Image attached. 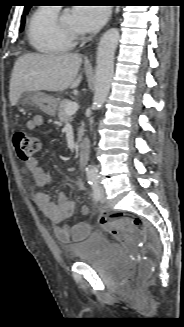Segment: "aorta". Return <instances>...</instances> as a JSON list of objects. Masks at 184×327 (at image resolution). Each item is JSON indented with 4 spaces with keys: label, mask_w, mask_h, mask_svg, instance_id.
Segmentation results:
<instances>
[{
    "label": "aorta",
    "mask_w": 184,
    "mask_h": 327,
    "mask_svg": "<svg viewBox=\"0 0 184 327\" xmlns=\"http://www.w3.org/2000/svg\"><path fill=\"white\" fill-rule=\"evenodd\" d=\"M119 39V30L111 28L102 35L98 44L95 92L93 97V106L98 110L103 107L110 91L114 75L115 51ZM86 174L88 178L96 179L98 177V170L94 166H88L86 168Z\"/></svg>",
    "instance_id": "762f6f07"
}]
</instances>
